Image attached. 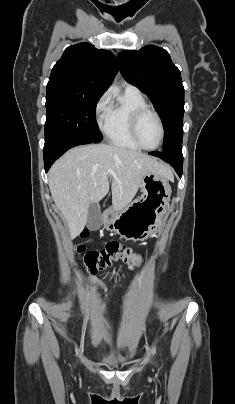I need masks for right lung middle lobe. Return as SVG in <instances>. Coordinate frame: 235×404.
<instances>
[{"label": "right lung middle lobe", "instance_id": "obj_1", "mask_svg": "<svg viewBox=\"0 0 235 404\" xmlns=\"http://www.w3.org/2000/svg\"><path fill=\"white\" fill-rule=\"evenodd\" d=\"M99 99L100 96L80 94L63 88H47L45 140L73 134L92 143L100 142L102 136L95 119Z\"/></svg>", "mask_w": 235, "mask_h": 404}]
</instances>
